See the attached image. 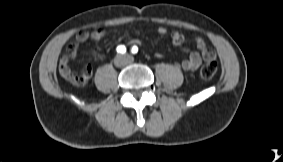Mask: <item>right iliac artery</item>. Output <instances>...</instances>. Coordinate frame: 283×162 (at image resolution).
I'll use <instances>...</instances> for the list:
<instances>
[{"instance_id": "82829eb1", "label": "right iliac artery", "mask_w": 283, "mask_h": 162, "mask_svg": "<svg viewBox=\"0 0 283 162\" xmlns=\"http://www.w3.org/2000/svg\"><path fill=\"white\" fill-rule=\"evenodd\" d=\"M117 52L118 53H125L126 52V48H125V46L124 45H119L118 47H117Z\"/></svg>"}]
</instances>
